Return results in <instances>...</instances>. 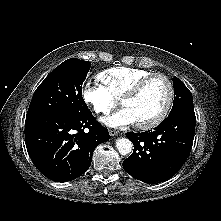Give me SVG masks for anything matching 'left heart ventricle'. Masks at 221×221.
<instances>
[{
  "label": "left heart ventricle",
  "mask_w": 221,
  "mask_h": 221,
  "mask_svg": "<svg viewBox=\"0 0 221 221\" xmlns=\"http://www.w3.org/2000/svg\"><path fill=\"white\" fill-rule=\"evenodd\" d=\"M168 97V87L161 78L150 80L140 94L124 103L136 123L147 122L156 117L163 109Z\"/></svg>",
  "instance_id": "b2bd125f"
}]
</instances>
